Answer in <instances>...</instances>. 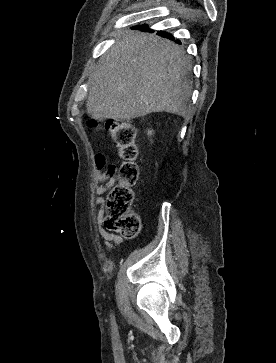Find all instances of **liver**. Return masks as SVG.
Instances as JSON below:
<instances>
[{"instance_id":"obj_1","label":"liver","mask_w":276,"mask_h":363,"mask_svg":"<svg viewBox=\"0 0 276 363\" xmlns=\"http://www.w3.org/2000/svg\"><path fill=\"white\" fill-rule=\"evenodd\" d=\"M191 69L189 57L175 43L153 34H124L89 79L87 113L98 121L163 111L187 117Z\"/></svg>"}]
</instances>
